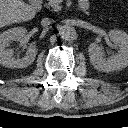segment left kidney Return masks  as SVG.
Listing matches in <instances>:
<instances>
[{
    "mask_svg": "<svg viewBox=\"0 0 128 128\" xmlns=\"http://www.w3.org/2000/svg\"><path fill=\"white\" fill-rule=\"evenodd\" d=\"M110 40L119 46L116 55L105 59L101 47L97 43H91L88 47L89 57L95 69L110 72L120 70L128 65V34L121 30H111Z\"/></svg>",
    "mask_w": 128,
    "mask_h": 128,
    "instance_id": "5707ae66",
    "label": "left kidney"
}]
</instances>
